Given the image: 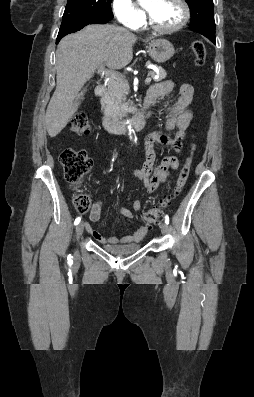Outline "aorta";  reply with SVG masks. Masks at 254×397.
Here are the masks:
<instances>
[{
    "label": "aorta",
    "instance_id": "obj_1",
    "mask_svg": "<svg viewBox=\"0 0 254 397\" xmlns=\"http://www.w3.org/2000/svg\"><path fill=\"white\" fill-rule=\"evenodd\" d=\"M140 2H143V1H145V0H139ZM128 129H129V133H130V135H131V131H132V129H131V126H128Z\"/></svg>",
    "mask_w": 254,
    "mask_h": 397
}]
</instances>
